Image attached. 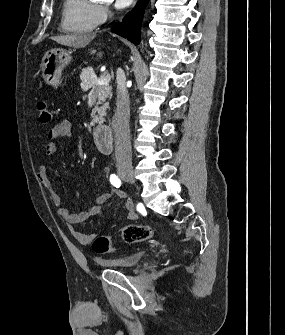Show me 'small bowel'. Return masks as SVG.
<instances>
[{"mask_svg":"<svg viewBox=\"0 0 285 335\" xmlns=\"http://www.w3.org/2000/svg\"><path fill=\"white\" fill-rule=\"evenodd\" d=\"M72 137V125L67 120H62L54 125L47 134V144L45 146V153L48 156L53 155L57 150L55 140L58 138H71ZM105 177H109V168L103 169ZM38 179L41 184L48 191L52 203L57 207L58 215L67 223L68 228L73 237L82 245L91 244L94 239V234H84L75 228V225L86 221L90 216L101 215V205L109 201L114 195L125 200V217L128 220H135L138 216L136 208L132 200L122 191L110 190L99 195L93 206L87 210L73 213L68 208L62 206V199L56 188L54 187L50 179V170L47 166L43 165L39 168L37 173ZM111 176V175H110Z\"/></svg>","mask_w":285,"mask_h":335,"instance_id":"1","label":"small bowel"}]
</instances>
